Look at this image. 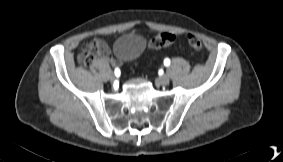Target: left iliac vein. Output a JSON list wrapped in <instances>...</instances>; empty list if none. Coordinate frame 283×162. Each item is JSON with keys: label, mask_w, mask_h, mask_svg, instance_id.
<instances>
[{"label": "left iliac vein", "mask_w": 283, "mask_h": 162, "mask_svg": "<svg viewBox=\"0 0 283 162\" xmlns=\"http://www.w3.org/2000/svg\"><path fill=\"white\" fill-rule=\"evenodd\" d=\"M157 82L160 84V85H168L169 82H170V79L167 75H162L160 76L158 79H157Z\"/></svg>", "instance_id": "obj_1"}]
</instances>
